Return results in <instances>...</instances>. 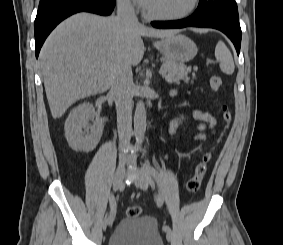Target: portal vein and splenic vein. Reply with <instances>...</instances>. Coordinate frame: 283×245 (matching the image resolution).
<instances>
[{"mask_svg":"<svg viewBox=\"0 0 283 245\" xmlns=\"http://www.w3.org/2000/svg\"><path fill=\"white\" fill-rule=\"evenodd\" d=\"M159 73H160V74H163V68H162V67L160 68Z\"/></svg>","mask_w":283,"mask_h":245,"instance_id":"1","label":"portal vein and splenic vein"}]
</instances>
